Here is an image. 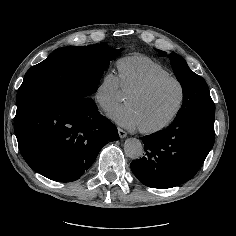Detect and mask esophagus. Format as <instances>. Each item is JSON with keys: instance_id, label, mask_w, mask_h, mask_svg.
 <instances>
[{"instance_id": "34e87169", "label": "esophagus", "mask_w": 236, "mask_h": 236, "mask_svg": "<svg viewBox=\"0 0 236 236\" xmlns=\"http://www.w3.org/2000/svg\"><path fill=\"white\" fill-rule=\"evenodd\" d=\"M118 133L120 138H125L127 136V133L121 128H118Z\"/></svg>"}]
</instances>
